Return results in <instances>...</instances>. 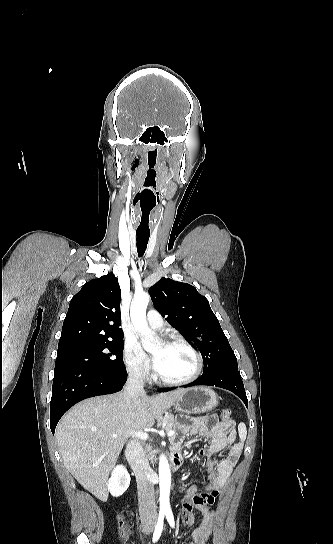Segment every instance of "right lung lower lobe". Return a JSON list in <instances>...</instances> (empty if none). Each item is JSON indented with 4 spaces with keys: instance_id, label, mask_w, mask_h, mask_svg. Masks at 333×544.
Listing matches in <instances>:
<instances>
[{
    "instance_id": "1",
    "label": "right lung lower lobe",
    "mask_w": 333,
    "mask_h": 544,
    "mask_svg": "<svg viewBox=\"0 0 333 544\" xmlns=\"http://www.w3.org/2000/svg\"><path fill=\"white\" fill-rule=\"evenodd\" d=\"M127 375L101 372L72 362L55 363L52 398L50 403V428L52 433L62 415L79 401L120 391Z\"/></svg>"
}]
</instances>
